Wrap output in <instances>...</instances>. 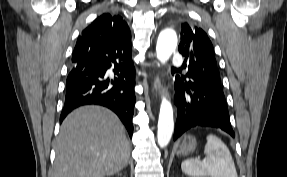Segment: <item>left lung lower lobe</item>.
I'll list each match as a JSON object with an SVG mask.
<instances>
[{
	"label": "left lung lower lobe",
	"mask_w": 287,
	"mask_h": 177,
	"mask_svg": "<svg viewBox=\"0 0 287 177\" xmlns=\"http://www.w3.org/2000/svg\"><path fill=\"white\" fill-rule=\"evenodd\" d=\"M174 88L178 112L174 140L194 126L218 127L235 137L221 87L203 88L185 76L176 77Z\"/></svg>",
	"instance_id": "left-lung-lower-lobe-1"
}]
</instances>
